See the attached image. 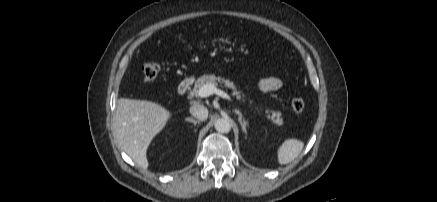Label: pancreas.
<instances>
[{
	"mask_svg": "<svg viewBox=\"0 0 437 202\" xmlns=\"http://www.w3.org/2000/svg\"><path fill=\"white\" fill-rule=\"evenodd\" d=\"M207 83H211L215 86L220 83L221 86H225L226 88L233 90V95L237 97V99H241V91L237 90V87L235 84L229 80H225L221 77H216L214 74H204L203 76L199 77L193 87V90L191 91V94L194 96H198V90L204 86ZM244 96V94H243ZM267 118L272 121V123L281 126L283 124V119L281 118V112L280 111H273V110H266Z\"/></svg>",
	"mask_w": 437,
	"mask_h": 202,
	"instance_id": "1",
	"label": "pancreas"
}]
</instances>
